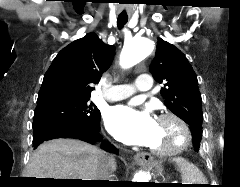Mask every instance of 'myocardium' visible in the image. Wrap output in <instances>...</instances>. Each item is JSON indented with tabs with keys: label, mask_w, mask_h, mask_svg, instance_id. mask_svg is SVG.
<instances>
[{
	"label": "myocardium",
	"mask_w": 240,
	"mask_h": 187,
	"mask_svg": "<svg viewBox=\"0 0 240 187\" xmlns=\"http://www.w3.org/2000/svg\"><path fill=\"white\" fill-rule=\"evenodd\" d=\"M163 120H171L174 122L178 128L180 139L175 145L171 147L163 149L149 148V152L156 156L166 157L177 155L185 151L190 146L192 140L191 130L186 121L177 113L170 111L159 115L158 121Z\"/></svg>",
	"instance_id": "obj_1"
}]
</instances>
